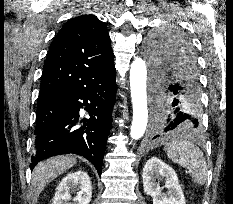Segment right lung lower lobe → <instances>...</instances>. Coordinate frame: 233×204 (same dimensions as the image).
Wrapping results in <instances>:
<instances>
[{"label": "right lung lower lobe", "mask_w": 233, "mask_h": 204, "mask_svg": "<svg viewBox=\"0 0 233 204\" xmlns=\"http://www.w3.org/2000/svg\"><path fill=\"white\" fill-rule=\"evenodd\" d=\"M115 78V68L112 67L71 90L39 101L38 104L55 108L61 115L48 131L36 137L31 170L46 158L73 153L87 158L101 175L116 98ZM83 106L90 118L79 121V111ZM81 122L83 127H77Z\"/></svg>", "instance_id": "obj_1"}]
</instances>
